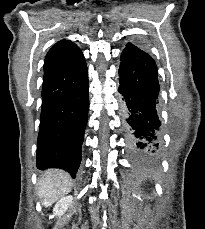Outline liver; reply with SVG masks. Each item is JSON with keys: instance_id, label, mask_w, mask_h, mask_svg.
Masks as SVG:
<instances>
[{"instance_id": "6515ba94", "label": "liver", "mask_w": 205, "mask_h": 229, "mask_svg": "<svg viewBox=\"0 0 205 229\" xmlns=\"http://www.w3.org/2000/svg\"><path fill=\"white\" fill-rule=\"evenodd\" d=\"M69 175L58 169L46 171L38 182V195L43 198V206H51L71 191Z\"/></svg>"}]
</instances>
